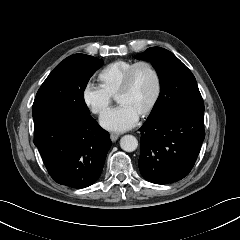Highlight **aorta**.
<instances>
[{
    "label": "aorta",
    "instance_id": "1",
    "mask_svg": "<svg viewBox=\"0 0 240 240\" xmlns=\"http://www.w3.org/2000/svg\"><path fill=\"white\" fill-rule=\"evenodd\" d=\"M120 147L126 152H133L138 147V141L133 135H125L120 139Z\"/></svg>",
    "mask_w": 240,
    "mask_h": 240
}]
</instances>
